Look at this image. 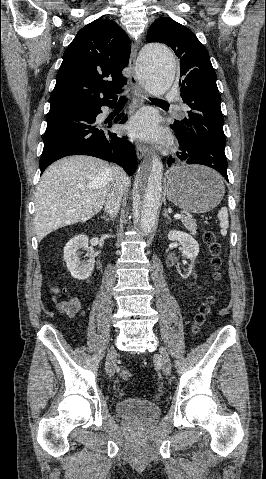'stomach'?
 <instances>
[{
  "label": "stomach",
  "instance_id": "stomach-1",
  "mask_svg": "<svg viewBox=\"0 0 266 479\" xmlns=\"http://www.w3.org/2000/svg\"><path fill=\"white\" fill-rule=\"evenodd\" d=\"M165 192L168 200L179 208L201 214L221 202L225 187L214 170L201 165H181L170 171Z\"/></svg>",
  "mask_w": 266,
  "mask_h": 479
}]
</instances>
